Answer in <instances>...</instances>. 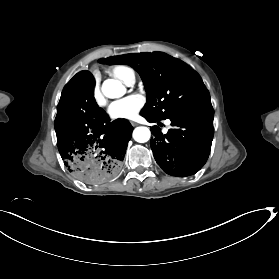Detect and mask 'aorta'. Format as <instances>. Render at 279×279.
<instances>
[{
  "label": "aorta",
  "mask_w": 279,
  "mask_h": 279,
  "mask_svg": "<svg viewBox=\"0 0 279 279\" xmlns=\"http://www.w3.org/2000/svg\"><path fill=\"white\" fill-rule=\"evenodd\" d=\"M103 94L111 99L122 97L126 88L118 80L107 79L102 84ZM151 132L147 127L141 126L137 127L133 131V138L139 143H145L150 139Z\"/></svg>",
  "instance_id": "762f6f07"
}]
</instances>
